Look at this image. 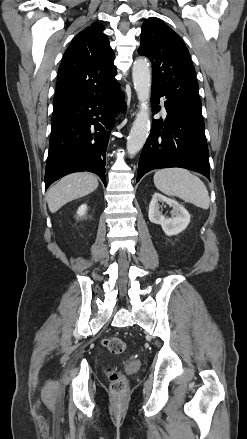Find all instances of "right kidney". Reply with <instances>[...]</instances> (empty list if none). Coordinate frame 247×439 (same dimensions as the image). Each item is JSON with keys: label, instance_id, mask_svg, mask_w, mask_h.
<instances>
[{"label": "right kidney", "instance_id": "obj_1", "mask_svg": "<svg viewBox=\"0 0 247 439\" xmlns=\"http://www.w3.org/2000/svg\"><path fill=\"white\" fill-rule=\"evenodd\" d=\"M86 211H87V205H86V204H83V205H81V206L78 208V210H77V215L80 216V217H82V216H84V215L86 214Z\"/></svg>", "mask_w": 247, "mask_h": 439}]
</instances>
